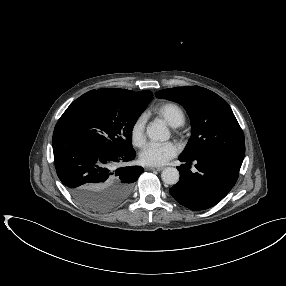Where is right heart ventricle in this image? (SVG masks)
<instances>
[{"label": "right heart ventricle", "instance_id": "obj_1", "mask_svg": "<svg viewBox=\"0 0 286 286\" xmlns=\"http://www.w3.org/2000/svg\"><path fill=\"white\" fill-rule=\"evenodd\" d=\"M154 112L172 127H180L186 121L184 110L176 103H162L154 109Z\"/></svg>", "mask_w": 286, "mask_h": 286}]
</instances>
